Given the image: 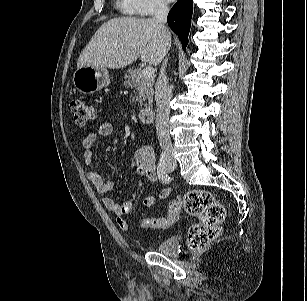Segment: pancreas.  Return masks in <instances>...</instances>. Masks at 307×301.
Here are the masks:
<instances>
[{
    "instance_id": "pancreas-1",
    "label": "pancreas",
    "mask_w": 307,
    "mask_h": 301,
    "mask_svg": "<svg viewBox=\"0 0 307 301\" xmlns=\"http://www.w3.org/2000/svg\"><path fill=\"white\" fill-rule=\"evenodd\" d=\"M125 86L128 88H134L135 97L132 98V103H138L137 105L142 107L143 101H147L149 105L153 101V77H145L141 69H129L125 75Z\"/></svg>"
}]
</instances>
